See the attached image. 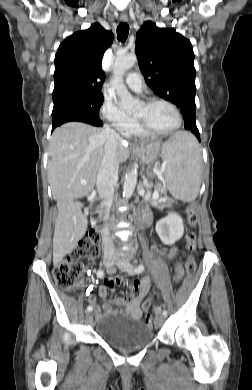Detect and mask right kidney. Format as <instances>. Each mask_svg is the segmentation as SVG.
Returning a JSON list of instances; mask_svg holds the SVG:
<instances>
[{
	"label": "right kidney",
	"mask_w": 252,
	"mask_h": 390,
	"mask_svg": "<svg viewBox=\"0 0 252 390\" xmlns=\"http://www.w3.org/2000/svg\"><path fill=\"white\" fill-rule=\"evenodd\" d=\"M88 209L87 208H85V210H84V214H85V216H87L88 215Z\"/></svg>",
	"instance_id": "1"
}]
</instances>
